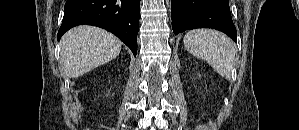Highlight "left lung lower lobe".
<instances>
[{
	"mask_svg": "<svg viewBox=\"0 0 299 130\" xmlns=\"http://www.w3.org/2000/svg\"><path fill=\"white\" fill-rule=\"evenodd\" d=\"M171 15L176 35L188 29L212 28L236 41L228 0H172Z\"/></svg>",
	"mask_w": 299,
	"mask_h": 130,
	"instance_id": "left-lung-lower-lobe-1",
	"label": "left lung lower lobe"
}]
</instances>
